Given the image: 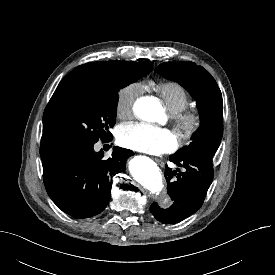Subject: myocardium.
Instances as JSON below:
<instances>
[{
  "label": "myocardium",
  "instance_id": "myocardium-1",
  "mask_svg": "<svg viewBox=\"0 0 275 275\" xmlns=\"http://www.w3.org/2000/svg\"><path fill=\"white\" fill-rule=\"evenodd\" d=\"M173 126L182 142L191 139L201 125V118L195 109L186 108L172 115Z\"/></svg>",
  "mask_w": 275,
  "mask_h": 275
}]
</instances>
